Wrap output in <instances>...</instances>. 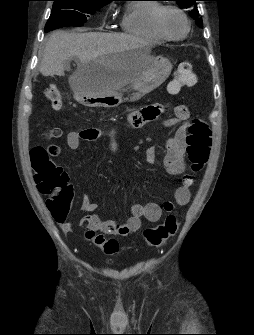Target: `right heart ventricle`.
Listing matches in <instances>:
<instances>
[{"label": "right heart ventricle", "instance_id": "right-heart-ventricle-1", "mask_svg": "<svg viewBox=\"0 0 254 335\" xmlns=\"http://www.w3.org/2000/svg\"><path fill=\"white\" fill-rule=\"evenodd\" d=\"M160 6L157 2L128 4L121 19L122 30L148 42H163L153 27V16Z\"/></svg>", "mask_w": 254, "mask_h": 335}]
</instances>
